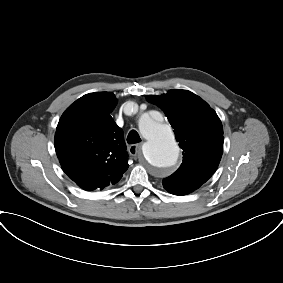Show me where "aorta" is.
<instances>
[{"label":"aorta","instance_id":"762f6f07","mask_svg":"<svg viewBox=\"0 0 283 283\" xmlns=\"http://www.w3.org/2000/svg\"><path fill=\"white\" fill-rule=\"evenodd\" d=\"M139 130L146 139L142 151L147 162L157 171L172 170L177 163L179 147L171 127L162 123L159 116H142Z\"/></svg>","mask_w":283,"mask_h":283}]
</instances>
